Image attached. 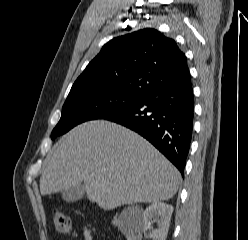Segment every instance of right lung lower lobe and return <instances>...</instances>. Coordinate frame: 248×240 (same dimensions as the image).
Masks as SVG:
<instances>
[{
  "label": "right lung lower lobe",
  "instance_id": "1",
  "mask_svg": "<svg viewBox=\"0 0 248 240\" xmlns=\"http://www.w3.org/2000/svg\"><path fill=\"white\" fill-rule=\"evenodd\" d=\"M194 118V95L190 75L164 85L130 107L105 120L121 124L151 142L184 173Z\"/></svg>",
  "mask_w": 248,
  "mask_h": 240
}]
</instances>
